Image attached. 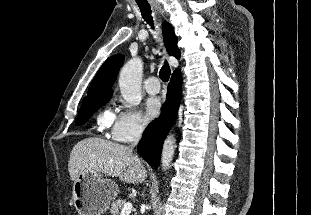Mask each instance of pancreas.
Instances as JSON below:
<instances>
[{"label": "pancreas", "mask_w": 311, "mask_h": 215, "mask_svg": "<svg viewBox=\"0 0 311 215\" xmlns=\"http://www.w3.org/2000/svg\"><path fill=\"white\" fill-rule=\"evenodd\" d=\"M124 204H125V200H122V199H117L116 201L112 202L110 213L112 215H118L119 211L123 208Z\"/></svg>", "instance_id": "1"}]
</instances>
